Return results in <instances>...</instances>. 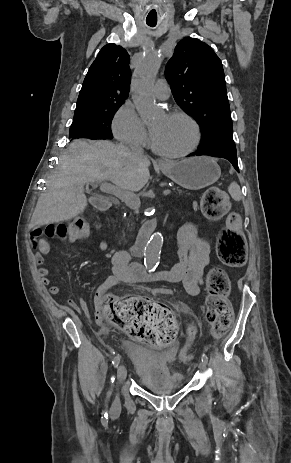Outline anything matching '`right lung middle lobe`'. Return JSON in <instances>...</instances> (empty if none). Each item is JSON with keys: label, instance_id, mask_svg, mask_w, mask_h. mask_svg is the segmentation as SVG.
Returning <instances> with one entry per match:
<instances>
[{"label": "right lung middle lobe", "instance_id": "obj_1", "mask_svg": "<svg viewBox=\"0 0 291 463\" xmlns=\"http://www.w3.org/2000/svg\"><path fill=\"white\" fill-rule=\"evenodd\" d=\"M122 102L109 101L91 112L74 116L69 130L72 139H111V122Z\"/></svg>", "mask_w": 291, "mask_h": 463}]
</instances>
